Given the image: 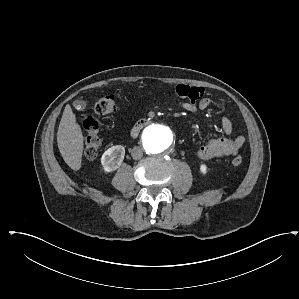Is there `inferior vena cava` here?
<instances>
[{"instance_id": "obj_1", "label": "inferior vena cava", "mask_w": 299, "mask_h": 299, "mask_svg": "<svg viewBox=\"0 0 299 299\" xmlns=\"http://www.w3.org/2000/svg\"><path fill=\"white\" fill-rule=\"evenodd\" d=\"M131 155L135 160L141 159L143 157V149L139 146H135L132 149Z\"/></svg>"}]
</instances>
